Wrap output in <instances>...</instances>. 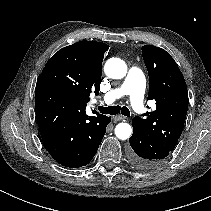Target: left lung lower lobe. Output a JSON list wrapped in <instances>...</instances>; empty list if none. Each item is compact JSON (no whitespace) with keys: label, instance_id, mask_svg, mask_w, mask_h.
Instances as JSON below:
<instances>
[{"label":"left lung lower lobe","instance_id":"obj_1","mask_svg":"<svg viewBox=\"0 0 211 211\" xmlns=\"http://www.w3.org/2000/svg\"><path fill=\"white\" fill-rule=\"evenodd\" d=\"M133 135L130 137L128 157L133 167L148 171L161 166L172 152L164 144L147 136L139 127L132 123Z\"/></svg>","mask_w":211,"mask_h":211}]
</instances>
